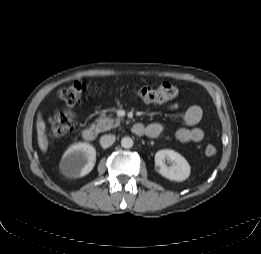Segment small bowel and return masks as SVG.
<instances>
[{"label":"small bowel","instance_id":"1","mask_svg":"<svg viewBox=\"0 0 261 254\" xmlns=\"http://www.w3.org/2000/svg\"><path fill=\"white\" fill-rule=\"evenodd\" d=\"M177 103H172L170 105V109H177ZM202 108L199 105L190 106L182 116V123L183 126L178 128L175 132V137L182 143H189V142H200L204 138V131L199 128L195 127L202 118ZM142 127L143 131L142 134L137 135H146L150 138H156L165 132L164 127L158 123H152L147 126L142 124H136Z\"/></svg>","mask_w":261,"mask_h":254}]
</instances>
